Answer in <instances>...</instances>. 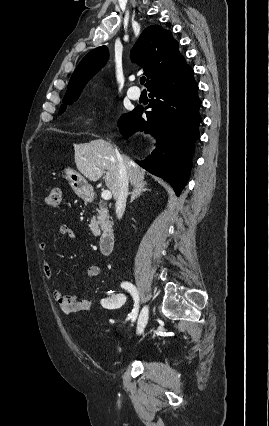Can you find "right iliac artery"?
<instances>
[{"label": "right iliac artery", "instance_id": "1", "mask_svg": "<svg viewBox=\"0 0 269 426\" xmlns=\"http://www.w3.org/2000/svg\"><path fill=\"white\" fill-rule=\"evenodd\" d=\"M122 287H124L126 290H128V292L132 295L133 300H134V309L132 310V312L130 313V318L132 321H135L137 314H138V308H139V293L136 289V287L129 283V282H124L122 284Z\"/></svg>", "mask_w": 269, "mask_h": 426}]
</instances>
